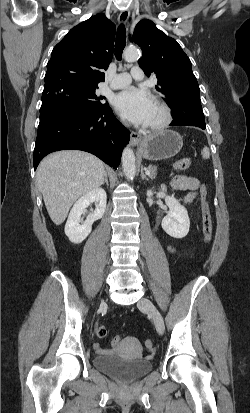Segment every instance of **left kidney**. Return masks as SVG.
I'll return each mask as SVG.
<instances>
[{
    "instance_id": "left-kidney-1",
    "label": "left kidney",
    "mask_w": 250,
    "mask_h": 413,
    "mask_svg": "<svg viewBox=\"0 0 250 413\" xmlns=\"http://www.w3.org/2000/svg\"><path fill=\"white\" fill-rule=\"evenodd\" d=\"M151 190L147 191V196H152ZM157 197L164 198L169 213L162 219L163 230L173 238L181 239L189 232L190 219L187 210L173 196L165 195L162 192L157 193Z\"/></svg>"
}]
</instances>
